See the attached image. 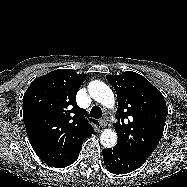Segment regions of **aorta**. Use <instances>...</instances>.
<instances>
[{"instance_id": "1", "label": "aorta", "mask_w": 187, "mask_h": 187, "mask_svg": "<svg viewBox=\"0 0 187 187\" xmlns=\"http://www.w3.org/2000/svg\"><path fill=\"white\" fill-rule=\"evenodd\" d=\"M88 92L98 103L107 108H112L115 104V98L112 90L105 83L95 80L89 83ZM101 144L106 148H112L117 142V134L113 129H106L102 132Z\"/></svg>"}]
</instances>
